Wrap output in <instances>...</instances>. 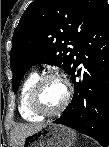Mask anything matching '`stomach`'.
I'll return each instance as SVG.
<instances>
[{
    "instance_id": "1",
    "label": "stomach",
    "mask_w": 109,
    "mask_h": 147,
    "mask_svg": "<svg viewBox=\"0 0 109 147\" xmlns=\"http://www.w3.org/2000/svg\"><path fill=\"white\" fill-rule=\"evenodd\" d=\"M75 137L76 133L66 126L47 124L28 135L22 147H72Z\"/></svg>"
}]
</instances>
